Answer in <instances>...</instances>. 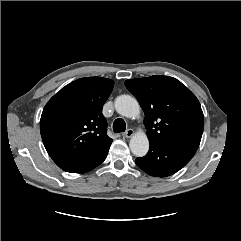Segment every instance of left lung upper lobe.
<instances>
[{"instance_id": "left-lung-upper-lobe-1", "label": "left lung upper lobe", "mask_w": 241, "mask_h": 241, "mask_svg": "<svg viewBox=\"0 0 241 241\" xmlns=\"http://www.w3.org/2000/svg\"><path fill=\"white\" fill-rule=\"evenodd\" d=\"M126 88L144 113L148 139L199 146L204 116L196 96L180 81L168 76L129 79Z\"/></svg>"}]
</instances>
